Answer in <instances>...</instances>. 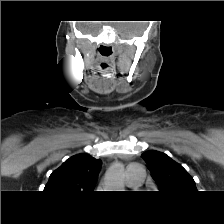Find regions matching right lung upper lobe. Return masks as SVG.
Masks as SVG:
<instances>
[{
  "label": "right lung upper lobe",
  "mask_w": 224,
  "mask_h": 224,
  "mask_svg": "<svg viewBox=\"0 0 224 224\" xmlns=\"http://www.w3.org/2000/svg\"><path fill=\"white\" fill-rule=\"evenodd\" d=\"M101 160L81 153L67 159L52 172L44 190L57 193L93 192Z\"/></svg>",
  "instance_id": "1"
}]
</instances>
